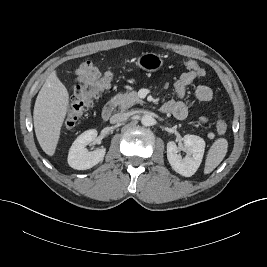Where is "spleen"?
<instances>
[{"label": "spleen", "instance_id": "obj_1", "mask_svg": "<svg viewBox=\"0 0 267 267\" xmlns=\"http://www.w3.org/2000/svg\"><path fill=\"white\" fill-rule=\"evenodd\" d=\"M228 149V142L225 138L217 139L208 151L204 174L211 173L224 159Z\"/></svg>", "mask_w": 267, "mask_h": 267}]
</instances>
